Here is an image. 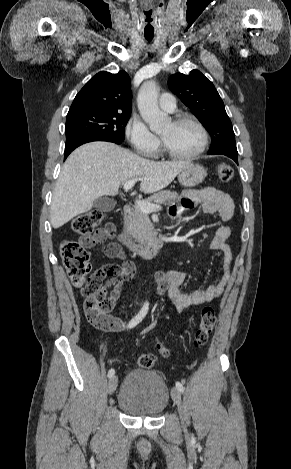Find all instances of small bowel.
I'll use <instances>...</instances> for the list:
<instances>
[{
    "instance_id": "1",
    "label": "small bowel",
    "mask_w": 291,
    "mask_h": 469,
    "mask_svg": "<svg viewBox=\"0 0 291 469\" xmlns=\"http://www.w3.org/2000/svg\"><path fill=\"white\" fill-rule=\"evenodd\" d=\"M199 205L206 214H218L222 224L217 228L214 236L210 241V248L219 250L223 254V274L220 280L213 282L205 289L194 291L190 294L182 291L185 281V273L176 269H166L159 271L155 275L160 294H167L172 304L179 312L187 311L195 306L208 303L218 298L224 291L230 280V265L232 261V251L228 244V238L231 235V228L228 222L234 213V204L231 198L223 191L214 187H207L201 190L186 191L179 204L170 208V216L174 219L180 215ZM115 227L113 224H107L100 229L95 235L94 242L91 246H101L105 255L109 257H122L119 255H109L106 252L108 243L106 241L115 235ZM109 285H113L110 294L116 301L120 294V282L112 280ZM113 326L108 331L121 332L126 328L127 322L119 317H112Z\"/></svg>"
}]
</instances>
